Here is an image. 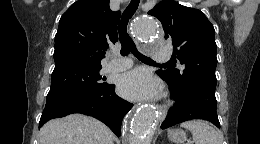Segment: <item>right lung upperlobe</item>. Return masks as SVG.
Here are the masks:
<instances>
[{
  "instance_id": "1",
  "label": "right lung upper lobe",
  "mask_w": 260,
  "mask_h": 144,
  "mask_svg": "<svg viewBox=\"0 0 260 144\" xmlns=\"http://www.w3.org/2000/svg\"><path fill=\"white\" fill-rule=\"evenodd\" d=\"M120 11L109 0H79L62 15L55 35L54 70L70 65H101L105 51L118 41Z\"/></svg>"
}]
</instances>
